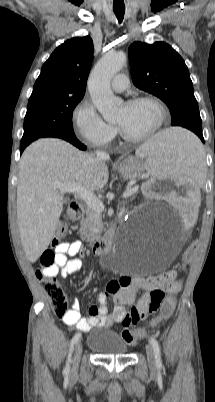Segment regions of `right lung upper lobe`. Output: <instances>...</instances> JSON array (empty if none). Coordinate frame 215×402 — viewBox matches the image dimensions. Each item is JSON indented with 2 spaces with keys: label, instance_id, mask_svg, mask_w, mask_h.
I'll use <instances>...</instances> for the list:
<instances>
[{
  "label": "right lung upper lobe",
  "instance_id": "right-lung-upper-lobe-1",
  "mask_svg": "<svg viewBox=\"0 0 215 402\" xmlns=\"http://www.w3.org/2000/svg\"><path fill=\"white\" fill-rule=\"evenodd\" d=\"M93 50V42L89 36L65 41L42 66L31 96L52 94L83 97Z\"/></svg>",
  "mask_w": 215,
  "mask_h": 402
}]
</instances>
